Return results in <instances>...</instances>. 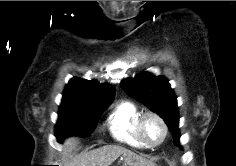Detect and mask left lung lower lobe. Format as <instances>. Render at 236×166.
<instances>
[{
    "label": "left lung lower lobe",
    "mask_w": 236,
    "mask_h": 166,
    "mask_svg": "<svg viewBox=\"0 0 236 166\" xmlns=\"http://www.w3.org/2000/svg\"><path fill=\"white\" fill-rule=\"evenodd\" d=\"M173 138H174V144L179 146V138H180V133H179V129H178V124L169 127ZM181 148V146H179Z\"/></svg>",
    "instance_id": "0a47b994"
}]
</instances>
